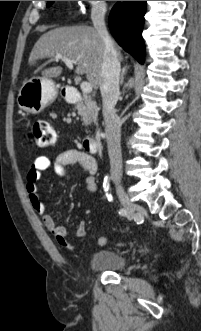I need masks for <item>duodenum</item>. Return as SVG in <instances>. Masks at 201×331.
I'll list each match as a JSON object with an SVG mask.
<instances>
[{"label":"duodenum","mask_w":201,"mask_h":331,"mask_svg":"<svg viewBox=\"0 0 201 331\" xmlns=\"http://www.w3.org/2000/svg\"><path fill=\"white\" fill-rule=\"evenodd\" d=\"M61 94L70 103H77L79 101V96L76 88L72 86H65L61 90ZM82 145L85 150L90 153H95L98 150V143L95 137L87 135L82 139Z\"/></svg>","instance_id":"obj_1"}]
</instances>
